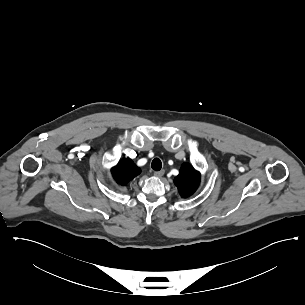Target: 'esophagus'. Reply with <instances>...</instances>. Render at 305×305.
Instances as JSON below:
<instances>
[{
    "instance_id": "obj_1",
    "label": "esophagus",
    "mask_w": 305,
    "mask_h": 305,
    "mask_svg": "<svg viewBox=\"0 0 305 305\" xmlns=\"http://www.w3.org/2000/svg\"><path fill=\"white\" fill-rule=\"evenodd\" d=\"M164 173H165V170H164V169H162V170H160V171H155V172H154V176H155V177H162V176L164 175Z\"/></svg>"
}]
</instances>
